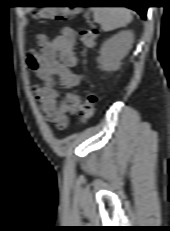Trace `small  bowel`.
I'll return each instance as SVG.
<instances>
[{
    "instance_id": "c3829d8e",
    "label": "small bowel",
    "mask_w": 170,
    "mask_h": 231,
    "mask_svg": "<svg viewBox=\"0 0 170 231\" xmlns=\"http://www.w3.org/2000/svg\"><path fill=\"white\" fill-rule=\"evenodd\" d=\"M37 40L39 51L30 52L26 59L28 67L43 81V85L36 88L35 95L45 119L63 129L69 116L80 105L78 86L83 77L74 71L78 64L75 32L64 27L58 36L39 35ZM57 83L67 90L61 97L56 89Z\"/></svg>"
}]
</instances>
